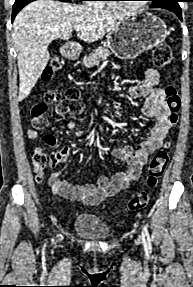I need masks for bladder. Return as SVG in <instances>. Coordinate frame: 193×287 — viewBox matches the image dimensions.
Wrapping results in <instances>:
<instances>
[{
	"label": "bladder",
	"instance_id": "31cf9c89",
	"mask_svg": "<svg viewBox=\"0 0 193 287\" xmlns=\"http://www.w3.org/2000/svg\"><path fill=\"white\" fill-rule=\"evenodd\" d=\"M73 229L86 239H107L110 236L107 224L96 214L88 212L76 215Z\"/></svg>",
	"mask_w": 193,
	"mask_h": 287
}]
</instances>
